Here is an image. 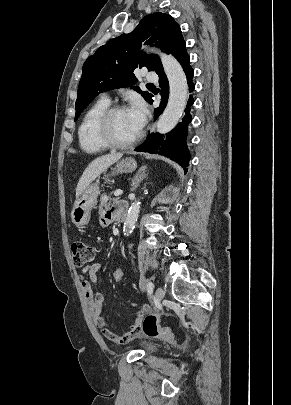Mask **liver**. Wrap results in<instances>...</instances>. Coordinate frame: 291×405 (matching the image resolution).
I'll return each mask as SVG.
<instances>
[{"label": "liver", "mask_w": 291, "mask_h": 405, "mask_svg": "<svg viewBox=\"0 0 291 405\" xmlns=\"http://www.w3.org/2000/svg\"><path fill=\"white\" fill-rule=\"evenodd\" d=\"M123 156L122 153L108 154L93 160L82 174L76 188V198L85 190V188L95 180L109 166L117 162Z\"/></svg>", "instance_id": "obj_1"}]
</instances>
